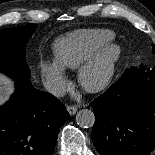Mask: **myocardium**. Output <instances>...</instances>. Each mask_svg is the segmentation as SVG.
Returning <instances> with one entry per match:
<instances>
[{
	"mask_svg": "<svg viewBox=\"0 0 155 155\" xmlns=\"http://www.w3.org/2000/svg\"><path fill=\"white\" fill-rule=\"evenodd\" d=\"M122 55L120 45L107 43L78 72L80 86L89 93L103 90L112 80Z\"/></svg>",
	"mask_w": 155,
	"mask_h": 155,
	"instance_id": "1",
	"label": "myocardium"
}]
</instances>
